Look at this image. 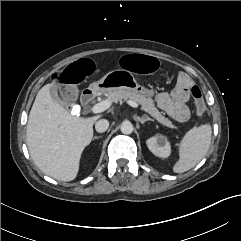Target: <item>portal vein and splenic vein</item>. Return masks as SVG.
I'll use <instances>...</instances> for the list:
<instances>
[{
  "instance_id": "obj_1",
  "label": "portal vein and splenic vein",
  "mask_w": 241,
  "mask_h": 241,
  "mask_svg": "<svg viewBox=\"0 0 241 241\" xmlns=\"http://www.w3.org/2000/svg\"><path fill=\"white\" fill-rule=\"evenodd\" d=\"M112 102L109 101V100H104V101H101L97 104H95L92 108H91V111L95 114L97 113H101V112H104L105 110H107L108 108H110ZM128 104L134 108H139V105L134 102V101H128Z\"/></svg>"
}]
</instances>
